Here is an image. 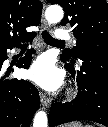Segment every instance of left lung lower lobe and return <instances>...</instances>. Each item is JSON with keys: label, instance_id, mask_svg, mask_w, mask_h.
Segmentation results:
<instances>
[{"label": "left lung lower lobe", "instance_id": "obj_1", "mask_svg": "<svg viewBox=\"0 0 108 127\" xmlns=\"http://www.w3.org/2000/svg\"><path fill=\"white\" fill-rule=\"evenodd\" d=\"M81 70L73 62L66 63V70L76 77L78 96L71 102L51 105L49 126L76 120H90L108 126V51L80 57Z\"/></svg>", "mask_w": 108, "mask_h": 127}]
</instances>
